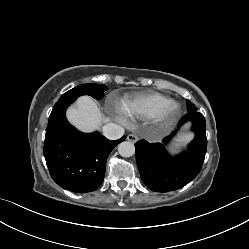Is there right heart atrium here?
Returning <instances> with one entry per match:
<instances>
[{
  "label": "right heart atrium",
  "mask_w": 249,
  "mask_h": 249,
  "mask_svg": "<svg viewBox=\"0 0 249 249\" xmlns=\"http://www.w3.org/2000/svg\"><path fill=\"white\" fill-rule=\"evenodd\" d=\"M119 118H120L121 120H124V115H123L122 113H120V114H119Z\"/></svg>",
  "instance_id": "obj_1"
}]
</instances>
